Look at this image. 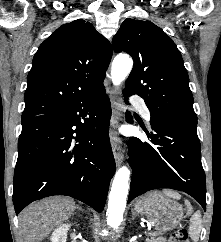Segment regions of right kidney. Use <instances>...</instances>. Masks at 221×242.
Segmentation results:
<instances>
[{
	"label": "right kidney",
	"instance_id": "obj_1",
	"mask_svg": "<svg viewBox=\"0 0 221 242\" xmlns=\"http://www.w3.org/2000/svg\"><path fill=\"white\" fill-rule=\"evenodd\" d=\"M70 227L71 224H63L57 229H55L50 238L51 242H66L67 231Z\"/></svg>",
	"mask_w": 221,
	"mask_h": 242
}]
</instances>
